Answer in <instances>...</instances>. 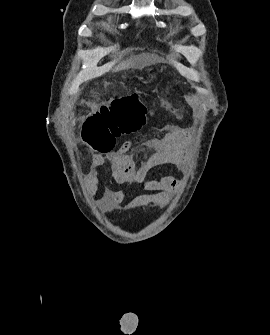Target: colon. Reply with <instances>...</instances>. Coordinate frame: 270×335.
Returning a JSON list of instances; mask_svg holds the SVG:
<instances>
[{"label":"colon","instance_id":"5ec220e1","mask_svg":"<svg viewBox=\"0 0 270 335\" xmlns=\"http://www.w3.org/2000/svg\"><path fill=\"white\" fill-rule=\"evenodd\" d=\"M110 107V110H96V116H89L83 126V140L100 154H108L113 148L110 136L137 133L152 115V110L144 106L136 94L111 101Z\"/></svg>","mask_w":270,"mask_h":335}]
</instances>
